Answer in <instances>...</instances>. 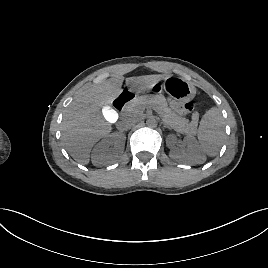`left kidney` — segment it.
<instances>
[{"label": "left kidney", "mask_w": 268, "mask_h": 268, "mask_svg": "<svg viewBox=\"0 0 268 268\" xmlns=\"http://www.w3.org/2000/svg\"><path fill=\"white\" fill-rule=\"evenodd\" d=\"M166 144L170 149L169 156L174 160L191 165L201 164L206 160L198 143L191 136H187L183 140L186 148L176 146L177 138L173 134L167 136Z\"/></svg>", "instance_id": "5707ae66"}]
</instances>
